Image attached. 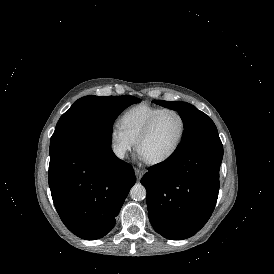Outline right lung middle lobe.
I'll return each mask as SVG.
<instances>
[{
	"label": "right lung middle lobe",
	"mask_w": 274,
	"mask_h": 274,
	"mask_svg": "<svg viewBox=\"0 0 274 274\" xmlns=\"http://www.w3.org/2000/svg\"><path fill=\"white\" fill-rule=\"evenodd\" d=\"M140 102L134 96L89 95L78 99L59 119L50 140V157L56 152L93 138L111 140V128L128 106Z\"/></svg>",
	"instance_id": "1"
}]
</instances>
